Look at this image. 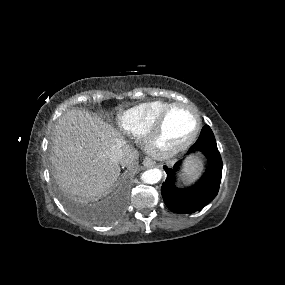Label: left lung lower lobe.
Returning a JSON list of instances; mask_svg holds the SVG:
<instances>
[{
  "label": "left lung lower lobe",
  "mask_w": 285,
  "mask_h": 285,
  "mask_svg": "<svg viewBox=\"0 0 285 285\" xmlns=\"http://www.w3.org/2000/svg\"><path fill=\"white\" fill-rule=\"evenodd\" d=\"M202 151L208 161V168L203 177L188 189H178L174 184V172L178 169V162L174 169L164 166L167 178L161 187V193L166 206L176 213H193L210 203L219 191L222 176V159L217 149L216 140L211 128L205 125L196 143L188 153Z\"/></svg>",
  "instance_id": "left-lung-lower-lobe-1"
}]
</instances>
